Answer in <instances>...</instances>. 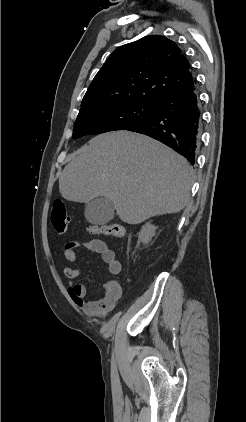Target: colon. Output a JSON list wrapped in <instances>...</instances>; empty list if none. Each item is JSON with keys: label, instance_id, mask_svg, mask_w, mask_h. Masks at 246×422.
Returning a JSON list of instances; mask_svg holds the SVG:
<instances>
[{"label": "colon", "instance_id": "5ec220e1", "mask_svg": "<svg viewBox=\"0 0 246 422\" xmlns=\"http://www.w3.org/2000/svg\"><path fill=\"white\" fill-rule=\"evenodd\" d=\"M51 223L58 233H64L68 228L69 216L62 200L57 199L52 203ZM87 230L93 235H108L116 238H122L125 234L124 227L118 223L92 225Z\"/></svg>", "mask_w": 246, "mask_h": 422}]
</instances>
